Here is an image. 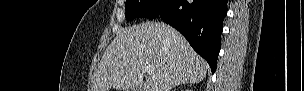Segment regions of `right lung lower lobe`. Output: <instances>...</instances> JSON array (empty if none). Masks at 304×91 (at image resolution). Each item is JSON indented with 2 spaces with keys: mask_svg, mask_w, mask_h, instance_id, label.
<instances>
[{
  "mask_svg": "<svg viewBox=\"0 0 304 91\" xmlns=\"http://www.w3.org/2000/svg\"><path fill=\"white\" fill-rule=\"evenodd\" d=\"M226 13L227 0H169L158 17L177 29L214 73Z\"/></svg>",
  "mask_w": 304,
  "mask_h": 91,
  "instance_id": "right-lung-lower-lobe-1",
  "label": "right lung lower lobe"
}]
</instances>
